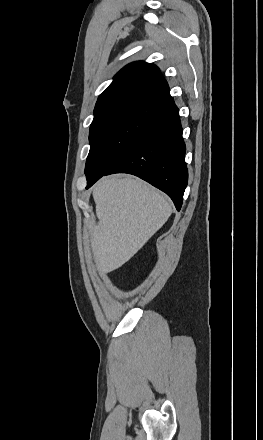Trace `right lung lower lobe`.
<instances>
[{
  "label": "right lung lower lobe",
  "instance_id": "right-lung-lower-lobe-1",
  "mask_svg": "<svg viewBox=\"0 0 263 440\" xmlns=\"http://www.w3.org/2000/svg\"><path fill=\"white\" fill-rule=\"evenodd\" d=\"M185 151L179 109L170 97L103 175H136L169 195L180 210L188 182ZM102 176L87 180L86 188Z\"/></svg>",
  "mask_w": 263,
  "mask_h": 440
}]
</instances>
